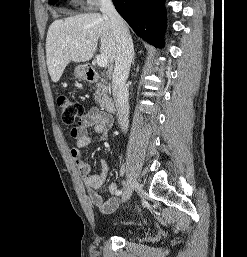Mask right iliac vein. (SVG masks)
Masks as SVG:
<instances>
[{
  "label": "right iliac vein",
  "instance_id": "63e3f726",
  "mask_svg": "<svg viewBox=\"0 0 247 257\" xmlns=\"http://www.w3.org/2000/svg\"><path fill=\"white\" fill-rule=\"evenodd\" d=\"M138 186L136 180L130 176L126 188L122 194V201L126 202L132 195L133 190Z\"/></svg>",
  "mask_w": 247,
  "mask_h": 257
}]
</instances>
